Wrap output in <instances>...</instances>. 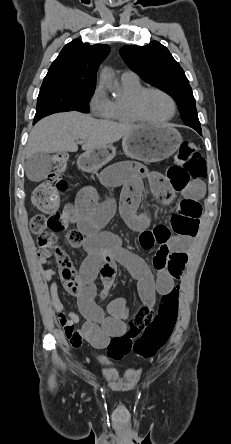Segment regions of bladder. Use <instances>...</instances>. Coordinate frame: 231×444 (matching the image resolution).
Returning a JSON list of instances; mask_svg holds the SVG:
<instances>
[{
	"label": "bladder",
	"instance_id": "1",
	"mask_svg": "<svg viewBox=\"0 0 231 444\" xmlns=\"http://www.w3.org/2000/svg\"><path fill=\"white\" fill-rule=\"evenodd\" d=\"M97 363L100 367H108L109 366L108 361L105 358H103L102 356L98 357Z\"/></svg>",
	"mask_w": 231,
	"mask_h": 444
}]
</instances>
